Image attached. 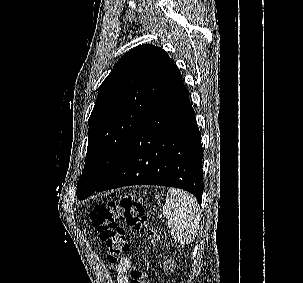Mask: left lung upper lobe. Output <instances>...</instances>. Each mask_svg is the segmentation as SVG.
Returning a JSON list of instances; mask_svg holds the SVG:
<instances>
[{"mask_svg":"<svg viewBox=\"0 0 303 283\" xmlns=\"http://www.w3.org/2000/svg\"><path fill=\"white\" fill-rule=\"evenodd\" d=\"M173 60L159 47L139 45L124 54L98 89L88 120V147L77 195L101 186L120 161Z\"/></svg>","mask_w":303,"mask_h":283,"instance_id":"5c2ea615","label":"left lung upper lobe"}]
</instances>
